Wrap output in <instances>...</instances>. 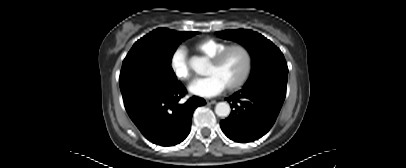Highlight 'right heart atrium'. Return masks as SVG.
Instances as JSON below:
<instances>
[{
  "mask_svg": "<svg viewBox=\"0 0 406 168\" xmlns=\"http://www.w3.org/2000/svg\"><path fill=\"white\" fill-rule=\"evenodd\" d=\"M169 65L172 72L179 80L187 81L190 78V67L185 47H177L172 52L169 59Z\"/></svg>",
  "mask_w": 406,
  "mask_h": 168,
  "instance_id": "1",
  "label": "right heart atrium"
}]
</instances>
